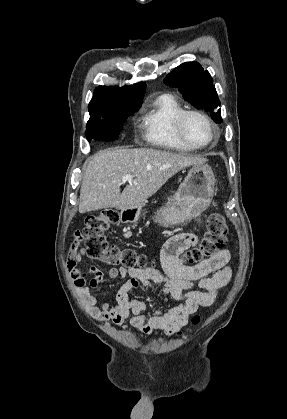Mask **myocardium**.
Wrapping results in <instances>:
<instances>
[{
    "label": "myocardium",
    "mask_w": 287,
    "mask_h": 419,
    "mask_svg": "<svg viewBox=\"0 0 287 419\" xmlns=\"http://www.w3.org/2000/svg\"><path fill=\"white\" fill-rule=\"evenodd\" d=\"M190 116H196L200 119H202L207 126L210 129L211 132V138L208 142L204 143V144H195L193 142H191L185 132H184V126H185V122L186 120L190 117ZM175 130L176 133L178 135V137L180 138V140L187 146L193 148V149H203L206 148L210 145H212L216 140H217V130L216 127L214 125V123L212 122V120L203 112H200L198 110H183L175 119Z\"/></svg>",
    "instance_id": "obj_1"
}]
</instances>
